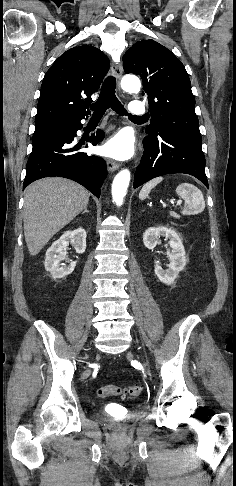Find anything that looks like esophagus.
<instances>
[{"instance_id": "obj_1", "label": "esophagus", "mask_w": 236, "mask_h": 486, "mask_svg": "<svg viewBox=\"0 0 236 486\" xmlns=\"http://www.w3.org/2000/svg\"><path fill=\"white\" fill-rule=\"evenodd\" d=\"M112 73L117 79L118 89L120 90V79L123 73V67L120 62L112 65ZM106 165L109 172H114L115 170L119 169V164L111 159L106 160Z\"/></svg>"}]
</instances>
